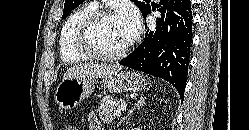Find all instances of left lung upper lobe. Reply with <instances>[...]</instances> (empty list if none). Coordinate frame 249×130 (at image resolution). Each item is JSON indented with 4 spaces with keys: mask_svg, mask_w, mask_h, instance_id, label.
<instances>
[{
    "mask_svg": "<svg viewBox=\"0 0 249 130\" xmlns=\"http://www.w3.org/2000/svg\"><path fill=\"white\" fill-rule=\"evenodd\" d=\"M82 2L83 0H66L64 4V11L62 18L66 17L72 10H74ZM132 2H134V4L140 9L143 17H145L149 13L151 6L148 4V2H140L135 0H132Z\"/></svg>",
    "mask_w": 249,
    "mask_h": 130,
    "instance_id": "1",
    "label": "left lung upper lobe"
}]
</instances>
